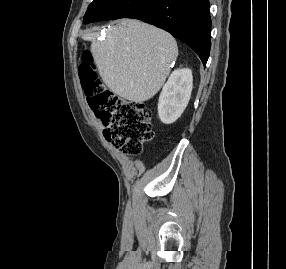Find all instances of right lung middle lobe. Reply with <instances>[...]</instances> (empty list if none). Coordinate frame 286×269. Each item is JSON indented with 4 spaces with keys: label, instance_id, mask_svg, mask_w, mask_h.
Instances as JSON below:
<instances>
[{
    "label": "right lung middle lobe",
    "instance_id": "1",
    "mask_svg": "<svg viewBox=\"0 0 286 269\" xmlns=\"http://www.w3.org/2000/svg\"><path fill=\"white\" fill-rule=\"evenodd\" d=\"M153 0H94L84 16V23L127 18Z\"/></svg>",
    "mask_w": 286,
    "mask_h": 269
}]
</instances>
